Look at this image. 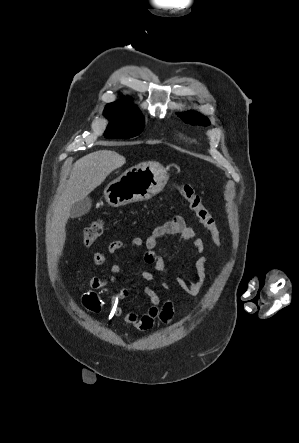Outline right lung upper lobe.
Returning a JSON list of instances; mask_svg holds the SVG:
<instances>
[{"instance_id":"1","label":"right lung upper lobe","mask_w":299,"mask_h":443,"mask_svg":"<svg viewBox=\"0 0 299 443\" xmlns=\"http://www.w3.org/2000/svg\"><path fill=\"white\" fill-rule=\"evenodd\" d=\"M111 104H117V105H122V106H126V107L137 108L128 100L118 101V102H114V103H111Z\"/></svg>"}]
</instances>
